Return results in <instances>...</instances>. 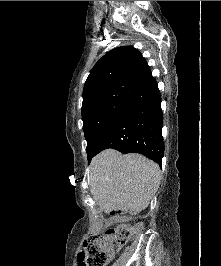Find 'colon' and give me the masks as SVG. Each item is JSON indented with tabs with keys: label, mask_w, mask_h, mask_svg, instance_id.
<instances>
[{
	"label": "colon",
	"mask_w": 221,
	"mask_h": 266,
	"mask_svg": "<svg viewBox=\"0 0 221 266\" xmlns=\"http://www.w3.org/2000/svg\"><path fill=\"white\" fill-rule=\"evenodd\" d=\"M138 230L139 225L121 226L88 238L83 251L85 263L87 266H106Z\"/></svg>",
	"instance_id": "5ec220e1"
}]
</instances>
